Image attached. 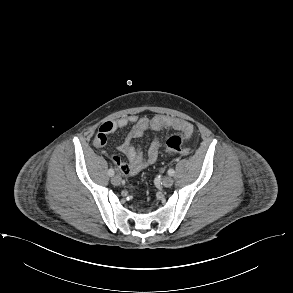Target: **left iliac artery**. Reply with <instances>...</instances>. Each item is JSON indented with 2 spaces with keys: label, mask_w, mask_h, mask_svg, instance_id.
I'll return each mask as SVG.
<instances>
[{
  "label": "left iliac artery",
  "mask_w": 293,
  "mask_h": 293,
  "mask_svg": "<svg viewBox=\"0 0 293 293\" xmlns=\"http://www.w3.org/2000/svg\"><path fill=\"white\" fill-rule=\"evenodd\" d=\"M174 173H175V171H174L173 169H169V170H168V174H169L170 176H173Z\"/></svg>",
  "instance_id": "1"
}]
</instances>
